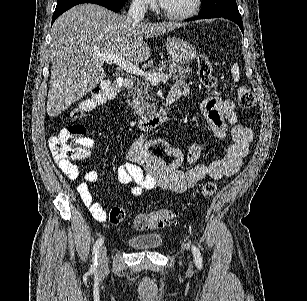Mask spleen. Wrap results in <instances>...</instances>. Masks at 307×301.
Listing matches in <instances>:
<instances>
[{
  "label": "spleen",
  "instance_id": "1",
  "mask_svg": "<svg viewBox=\"0 0 307 301\" xmlns=\"http://www.w3.org/2000/svg\"><path fill=\"white\" fill-rule=\"evenodd\" d=\"M232 76L234 78V82H239L240 80V72H239V64L238 62H234L233 66H231Z\"/></svg>",
  "mask_w": 307,
  "mask_h": 301
}]
</instances>
